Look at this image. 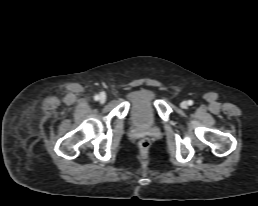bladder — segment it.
<instances>
[{
    "instance_id": "31cf9c89",
    "label": "bladder",
    "mask_w": 258,
    "mask_h": 206,
    "mask_svg": "<svg viewBox=\"0 0 258 206\" xmlns=\"http://www.w3.org/2000/svg\"><path fill=\"white\" fill-rule=\"evenodd\" d=\"M156 93L150 88H138L129 97V114L132 123L139 127L155 121Z\"/></svg>"
}]
</instances>
